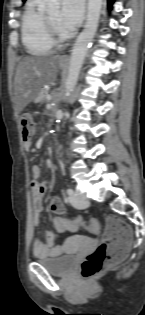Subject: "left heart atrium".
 <instances>
[{"label":"left heart atrium","instance_id":"left-heart-atrium-1","mask_svg":"<svg viewBox=\"0 0 145 315\" xmlns=\"http://www.w3.org/2000/svg\"><path fill=\"white\" fill-rule=\"evenodd\" d=\"M84 14V0H63L60 11V22L68 32L76 28Z\"/></svg>","mask_w":145,"mask_h":315}]
</instances>
